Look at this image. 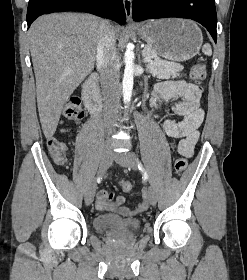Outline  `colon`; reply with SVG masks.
Instances as JSON below:
<instances>
[{
    "instance_id": "obj_1",
    "label": "colon",
    "mask_w": 247,
    "mask_h": 280,
    "mask_svg": "<svg viewBox=\"0 0 247 280\" xmlns=\"http://www.w3.org/2000/svg\"><path fill=\"white\" fill-rule=\"evenodd\" d=\"M206 65L202 61H197L191 68V78L198 85L205 79ZM64 117L66 119H81L83 112L80 109L79 100L77 98L71 99L64 109ZM48 148L51 155L57 162H64L66 159V145L59 139L51 138L48 140ZM187 167V160L179 157L175 160L174 170L176 174H182ZM123 191L130 192L133 188L132 184L125 181L121 184Z\"/></svg>"
}]
</instances>
